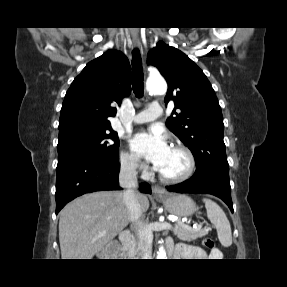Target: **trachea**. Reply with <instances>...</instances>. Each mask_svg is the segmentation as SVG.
Instances as JSON below:
<instances>
[{
	"mask_svg": "<svg viewBox=\"0 0 287 287\" xmlns=\"http://www.w3.org/2000/svg\"><path fill=\"white\" fill-rule=\"evenodd\" d=\"M132 89L137 98L143 96L144 84H143V72H142V62L138 49L133 50L132 58Z\"/></svg>",
	"mask_w": 287,
	"mask_h": 287,
	"instance_id": "obj_1",
	"label": "trachea"
}]
</instances>
